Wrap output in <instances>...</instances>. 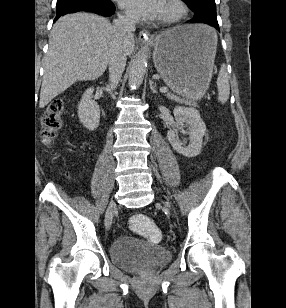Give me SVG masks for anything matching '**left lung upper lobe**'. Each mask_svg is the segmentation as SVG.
Returning a JSON list of instances; mask_svg holds the SVG:
<instances>
[{
	"label": "left lung upper lobe",
	"mask_w": 286,
	"mask_h": 308,
	"mask_svg": "<svg viewBox=\"0 0 286 308\" xmlns=\"http://www.w3.org/2000/svg\"><path fill=\"white\" fill-rule=\"evenodd\" d=\"M183 1L194 12L206 7L216 8L215 0H183Z\"/></svg>",
	"instance_id": "obj_1"
}]
</instances>
